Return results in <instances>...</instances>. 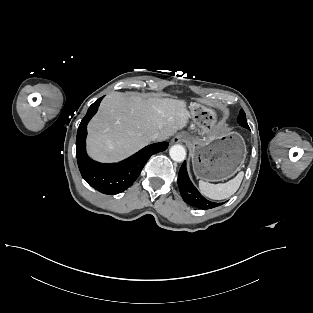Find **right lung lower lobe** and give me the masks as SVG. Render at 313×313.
<instances>
[{
    "instance_id": "obj_1",
    "label": "right lung lower lobe",
    "mask_w": 313,
    "mask_h": 313,
    "mask_svg": "<svg viewBox=\"0 0 313 313\" xmlns=\"http://www.w3.org/2000/svg\"><path fill=\"white\" fill-rule=\"evenodd\" d=\"M103 97L95 101L82 119L76 138V156L82 177L94 189L104 194L115 195L129 188L139 176L148 159L168 148L167 142L146 146L119 163L102 164L90 159L86 153L87 124L98 110Z\"/></svg>"
}]
</instances>
